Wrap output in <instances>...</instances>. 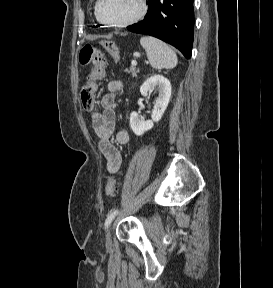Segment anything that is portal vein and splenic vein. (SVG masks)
Listing matches in <instances>:
<instances>
[{"label":"portal vein and splenic vein","mask_w":273,"mask_h":288,"mask_svg":"<svg viewBox=\"0 0 273 288\" xmlns=\"http://www.w3.org/2000/svg\"><path fill=\"white\" fill-rule=\"evenodd\" d=\"M131 64H132L133 66H136V65H137V62H136V61H132Z\"/></svg>","instance_id":"portal-vein-and-splenic-vein-1"}]
</instances>
